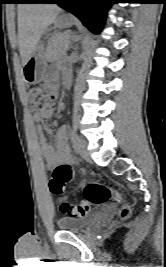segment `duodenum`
I'll use <instances>...</instances> for the list:
<instances>
[{
	"mask_svg": "<svg viewBox=\"0 0 166 267\" xmlns=\"http://www.w3.org/2000/svg\"><path fill=\"white\" fill-rule=\"evenodd\" d=\"M64 80H65L66 83H69L70 82L71 76H70V73L69 72L65 73Z\"/></svg>",
	"mask_w": 166,
	"mask_h": 267,
	"instance_id": "obj_1",
	"label": "duodenum"
}]
</instances>
